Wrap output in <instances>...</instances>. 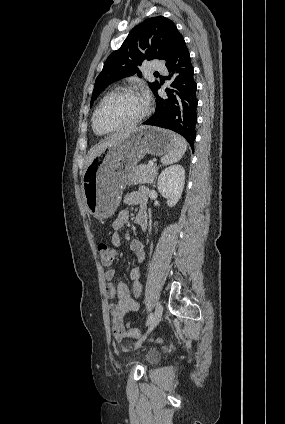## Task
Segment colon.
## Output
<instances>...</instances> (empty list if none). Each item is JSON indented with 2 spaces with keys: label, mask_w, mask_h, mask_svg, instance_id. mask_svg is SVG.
I'll use <instances>...</instances> for the list:
<instances>
[{
  "label": "colon",
  "mask_w": 285,
  "mask_h": 424,
  "mask_svg": "<svg viewBox=\"0 0 285 424\" xmlns=\"http://www.w3.org/2000/svg\"><path fill=\"white\" fill-rule=\"evenodd\" d=\"M98 252L101 258V261L104 265H111L117 256V251L115 248L108 246L105 243H100L98 245ZM129 333L131 336L135 338H139L141 336L140 332L137 329H130Z\"/></svg>",
  "instance_id": "obj_1"
}]
</instances>
